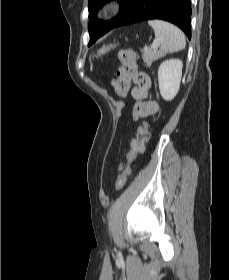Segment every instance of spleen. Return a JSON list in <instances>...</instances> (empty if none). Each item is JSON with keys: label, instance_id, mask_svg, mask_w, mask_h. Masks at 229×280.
<instances>
[{"label": "spleen", "instance_id": "obj_1", "mask_svg": "<svg viewBox=\"0 0 229 280\" xmlns=\"http://www.w3.org/2000/svg\"><path fill=\"white\" fill-rule=\"evenodd\" d=\"M148 24L154 30L161 53H173L185 48V36L175 25L162 20H149Z\"/></svg>", "mask_w": 229, "mask_h": 280}]
</instances>
